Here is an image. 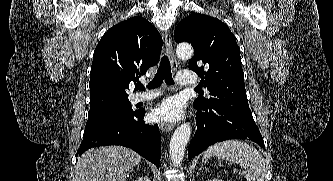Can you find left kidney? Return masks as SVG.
I'll use <instances>...</instances> for the list:
<instances>
[{
  "mask_svg": "<svg viewBox=\"0 0 333 181\" xmlns=\"http://www.w3.org/2000/svg\"><path fill=\"white\" fill-rule=\"evenodd\" d=\"M207 181H222V180L213 178V179H210V180H207Z\"/></svg>",
  "mask_w": 333,
  "mask_h": 181,
  "instance_id": "1",
  "label": "left kidney"
}]
</instances>
